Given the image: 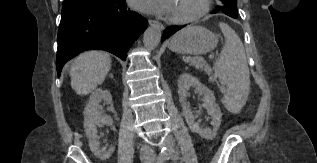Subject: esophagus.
<instances>
[{
    "mask_svg": "<svg viewBox=\"0 0 317 163\" xmlns=\"http://www.w3.org/2000/svg\"><path fill=\"white\" fill-rule=\"evenodd\" d=\"M149 24L151 26L158 28L161 31L164 30V25L156 20H149Z\"/></svg>",
    "mask_w": 317,
    "mask_h": 163,
    "instance_id": "34e87169",
    "label": "esophagus"
}]
</instances>
